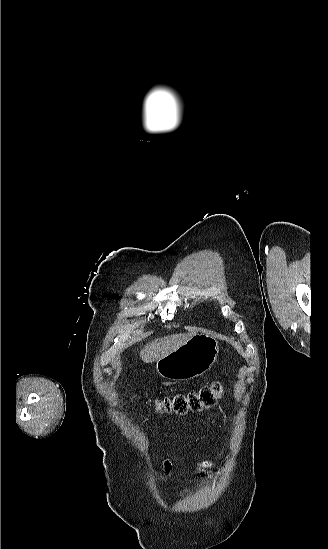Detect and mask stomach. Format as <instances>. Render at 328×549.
Segmentation results:
<instances>
[{"label":"stomach","instance_id":"obj_1","mask_svg":"<svg viewBox=\"0 0 328 549\" xmlns=\"http://www.w3.org/2000/svg\"><path fill=\"white\" fill-rule=\"evenodd\" d=\"M219 353L218 341L209 331H200L189 341L156 361L157 373L168 381H190L210 371Z\"/></svg>","mask_w":328,"mask_h":549}]
</instances>
